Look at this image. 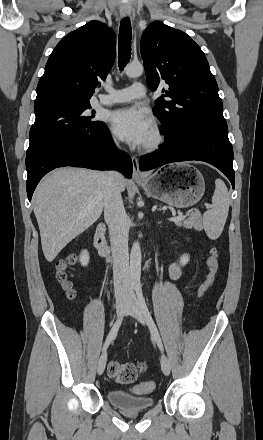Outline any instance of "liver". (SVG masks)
I'll use <instances>...</instances> for the list:
<instances>
[{
  "mask_svg": "<svg viewBox=\"0 0 263 440\" xmlns=\"http://www.w3.org/2000/svg\"><path fill=\"white\" fill-rule=\"evenodd\" d=\"M106 187V172L81 168L56 169L38 185L33 208L47 261L99 219ZM118 187L125 190L122 176Z\"/></svg>",
  "mask_w": 263,
  "mask_h": 440,
  "instance_id": "obj_1",
  "label": "liver"
}]
</instances>
